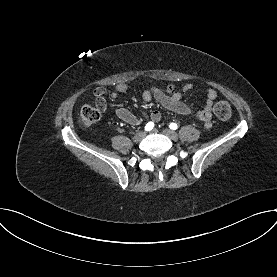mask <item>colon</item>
Returning a JSON list of instances; mask_svg holds the SVG:
<instances>
[{
    "label": "colon",
    "mask_w": 277,
    "mask_h": 277,
    "mask_svg": "<svg viewBox=\"0 0 277 277\" xmlns=\"http://www.w3.org/2000/svg\"><path fill=\"white\" fill-rule=\"evenodd\" d=\"M167 93H171L174 89L172 86L161 87ZM101 106L86 105L81 109L79 116V123L84 127H90L94 125L101 117ZM215 115L221 120H227L231 117V107L226 101H219L214 107Z\"/></svg>",
    "instance_id": "obj_1"
}]
</instances>
